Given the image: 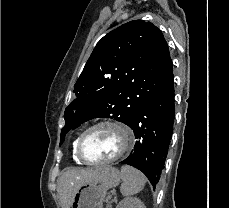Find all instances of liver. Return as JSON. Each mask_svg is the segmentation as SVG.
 <instances>
[{
	"label": "liver",
	"mask_w": 229,
	"mask_h": 208,
	"mask_svg": "<svg viewBox=\"0 0 229 208\" xmlns=\"http://www.w3.org/2000/svg\"><path fill=\"white\" fill-rule=\"evenodd\" d=\"M105 166H95V168H65L62 176L59 178L57 192L59 194L61 208H71L73 196H75L79 186L100 178Z\"/></svg>",
	"instance_id": "1"
}]
</instances>
